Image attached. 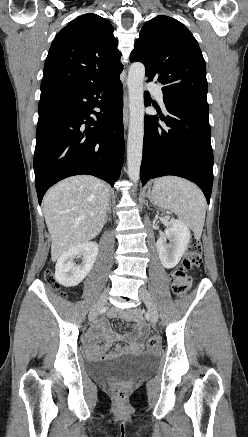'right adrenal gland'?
Listing matches in <instances>:
<instances>
[{
    "label": "right adrenal gland",
    "instance_id": "1",
    "mask_svg": "<svg viewBox=\"0 0 248 437\" xmlns=\"http://www.w3.org/2000/svg\"><path fill=\"white\" fill-rule=\"evenodd\" d=\"M110 213H111V202H109V205H108V208H107V215H106V218H105V223L107 222L108 214H110Z\"/></svg>",
    "mask_w": 248,
    "mask_h": 437
}]
</instances>
